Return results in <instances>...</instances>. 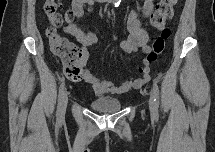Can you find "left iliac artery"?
<instances>
[{
  "label": "left iliac artery",
  "instance_id": "44dca946",
  "mask_svg": "<svg viewBox=\"0 0 215 152\" xmlns=\"http://www.w3.org/2000/svg\"><path fill=\"white\" fill-rule=\"evenodd\" d=\"M153 93H154V101H155V112L158 113L159 107V88L155 81H153Z\"/></svg>",
  "mask_w": 215,
  "mask_h": 152
}]
</instances>
